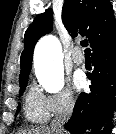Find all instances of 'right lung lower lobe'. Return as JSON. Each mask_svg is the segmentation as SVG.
Segmentation results:
<instances>
[{"label":"right lung lower lobe","instance_id":"1","mask_svg":"<svg viewBox=\"0 0 116 134\" xmlns=\"http://www.w3.org/2000/svg\"><path fill=\"white\" fill-rule=\"evenodd\" d=\"M92 48V73L90 92L78 97L73 114L65 125L72 134H83L86 129L109 134L116 109V31ZM96 113V114H93ZM107 125L103 127V125Z\"/></svg>","mask_w":116,"mask_h":134}]
</instances>
